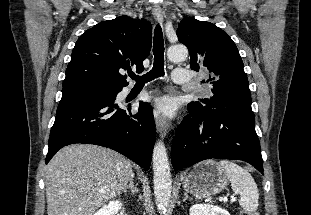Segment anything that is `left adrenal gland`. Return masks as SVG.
Returning <instances> with one entry per match:
<instances>
[{
    "label": "left adrenal gland",
    "instance_id": "1",
    "mask_svg": "<svg viewBox=\"0 0 311 215\" xmlns=\"http://www.w3.org/2000/svg\"><path fill=\"white\" fill-rule=\"evenodd\" d=\"M184 199H183V201H186V200H192V198H190L189 196H188V194L187 193H184Z\"/></svg>",
    "mask_w": 311,
    "mask_h": 215
}]
</instances>
